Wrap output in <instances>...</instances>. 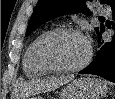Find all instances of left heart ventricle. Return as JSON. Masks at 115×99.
Returning a JSON list of instances; mask_svg holds the SVG:
<instances>
[{"mask_svg":"<svg viewBox=\"0 0 115 99\" xmlns=\"http://www.w3.org/2000/svg\"><path fill=\"white\" fill-rule=\"evenodd\" d=\"M87 54V43L78 35H65L48 46L51 60L60 66H74L82 62Z\"/></svg>","mask_w":115,"mask_h":99,"instance_id":"b2bd125f","label":"left heart ventricle"}]
</instances>
